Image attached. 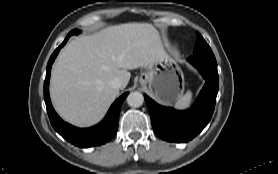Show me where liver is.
Segmentation results:
<instances>
[{"label":"liver","mask_w":278,"mask_h":174,"mask_svg":"<svg viewBox=\"0 0 278 174\" xmlns=\"http://www.w3.org/2000/svg\"><path fill=\"white\" fill-rule=\"evenodd\" d=\"M167 57L157 29L149 23H125L71 41L55 62L50 96L57 113L77 127H90L105 116L119 95L109 85L127 70L153 65Z\"/></svg>","instance_id":"6515ba94"}]
</instances>
